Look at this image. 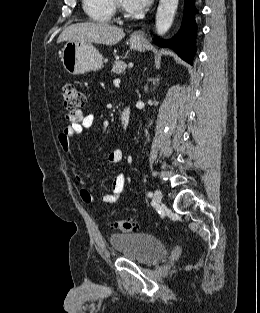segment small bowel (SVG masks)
Masks as SVG:
<instances>
[{
  "label": "small bowel",
  "mask_w": 260,
  "mask_h": 313,
  "mask_svg": "<svg viewBox=\"0 0 260 313\" xmlns=\"http://www.w3.org/2000/svg\"><path fill=\"white\" fill-rule=\"evenodd\" d=\"M66 120L69 124L62 129L57 136V142L59 147L68 152L70 150L71 139L74 136L82 135L85 131L92 128L95 124V116L93 114H84L81 110H76L66 114ZM124 158L123 151L116 149L107 155V161L112 164L121 163ZM73 172L75 174L76 181L81 184L79 195L83 202L90 204L94 202V197L90 190L86 187L82 176L79 174L77 167L73 165ZM125 175L119 173L116 175L111 193L101 197L103 203L111 204L121 198L125 191Z\"/></svg>",
  "instance_id": "small-bowel-1"
}]
</instances>
